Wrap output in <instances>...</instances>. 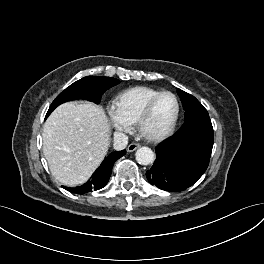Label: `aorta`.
<instances>
[{
    "instance_id": "obj_1",
    "label": "aorta",
    "mask_w": 264,
    "mask_h": 264,
    "mask_svg": "<svg viewBox=\"0 0 264 264\" xmlns=\"http://www.w3.org/2000/svg\"><path fill=\"white\" fill-rule=\"evenodd\" d=\"M135 156L136 161L142 165H149L154 160V153L149 147H140Z\"/></svg>"
}]
</instances>
